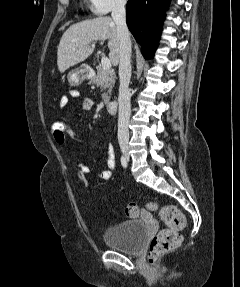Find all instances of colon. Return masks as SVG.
I'll list each match as a JSON object with an SVG mask.
<instances>
[{"instance_id":"5ec220e1","label":"colon","mask_w":240,"mask_h":287,"mask_svg":"<svg viewBox=\"0 0 240 287\" xmlns=\"http://www.w3.org/2000/svg\"><path fill=\"white\" fill-rule=\"evenodd\" d=\"M51 131L54 138L63 140L67 137L71 124L64 118L55 119L51 122ZM78 183L82 187L87 186L85 176L80 173ZM147 209L157 211L160 218L165 223L166 228L161 230L152 239L148 250V262L155 264L164 254L178 248L182 238L180 231L185 227L186 220L184 214L175 205H165L159 207L155 203H149ZM126 216L135 219L140 215V206L137 203H129L125 209Z\"/></svg>"}]
</instances>
